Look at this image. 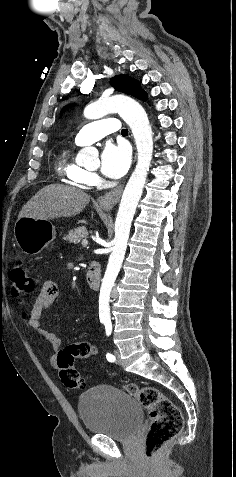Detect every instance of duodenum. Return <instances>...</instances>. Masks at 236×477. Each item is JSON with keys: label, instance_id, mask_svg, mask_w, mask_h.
<instances>
[{"label": "duodenum", "instance_id": "duodenum-1", "mask_svg": "<svg viewBox=\"0 0 236 477\" xmlns=\"http://www.w3.org/2000/svg\"><path fill=\"white\" fill-rule=\"evenodd\" d=\"M101 270L96 261L89 263V268L86 274V281L92 291H98L100 287Z\"/></svg>", "mask_w": 236, "mask_h": 477}]
</instances>
